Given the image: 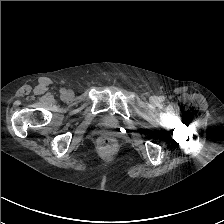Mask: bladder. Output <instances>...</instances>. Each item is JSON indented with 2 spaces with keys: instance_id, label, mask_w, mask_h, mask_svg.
I'll use <instances>...</instances> for the list:
<instances>
[{
  "instance_id": "obj_1",
  "label": "bladder",
  "mask_w": 224,
  "mask_h": 224,
  "mask_svg": "<svg viewBox=\"0 0 224 224\" xmlns=\"http://www.w3.org/2000/svg\"><path fill=\"white\" fill-rule=\"evenodd\" d=\"M99 124L105 128H116L118 126L117 118L111 113H105L100 116Z\"/></svg>"
}]
</instances>
